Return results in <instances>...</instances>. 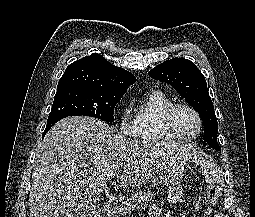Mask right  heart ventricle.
<instances>
[{"mask_svg": "<svg viewBox=\"0 0 255 217\" xmlns=\"http://www.w3.org/2000/svg\"><path fill=\"white\" fill-rule=\"evenodd\" d=\"M174 101L161 90L150 91L135 110L134 136L144 141H168L174 137L165 129L163 115Z\"/></svg>", "mask_w": 255, "mask_h": 217, "instance_id": "right-heart-ventricle-1", "label": "right heart ventricle"}]
</instances>
